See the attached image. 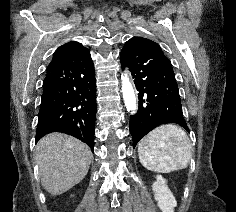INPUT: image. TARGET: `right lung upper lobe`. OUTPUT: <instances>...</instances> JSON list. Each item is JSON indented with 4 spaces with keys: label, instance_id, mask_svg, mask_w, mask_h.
Segmentation results:
<instances>
[{
    "label": "right lung upper lobe",
    "instance_id": "obj_1",
    "mask_svg": "<svg viewBox=\"0 0 236 212\" xmlns=\"http://www.w3.org/2000/svg\"><path fill=\"white\" fill-rule=\"evenodd\" d=\"M80 46H82V45L79 42H75V41H71V42H68V43L60 46L55 51V53L53 55L52 61L70 54L72 51H74L75 49L79 48Z\"/></svg>",
    "mask_w": 236,
    "mask_h": 212
}]
</instances>
